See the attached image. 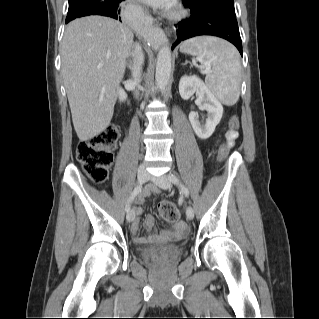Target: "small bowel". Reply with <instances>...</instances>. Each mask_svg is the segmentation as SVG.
<instances>
[{
	"instance_id": "obj_1",
	"label": "small bowel",
	"mask_w": 319,
	"mask_h": 319,
	"mask_svg": "<svg viewBox=\"0 0 319 319\" xmlns=\"http://www.w3.org/2000/svg\"><path fill=\"white\" fill-rule=\"evenodd\" d=\"M238 136V133H235V138ZM233 142V140H231ZM154 192H157L156 189L153 190ZM145 197L144 195H140L137 199L138 203L144 202ZM134 214H136L137 218L133 221L131 226V231L136 235L138 228H139V216L142 214V209L140 207H136L134 209ZM145 228L152 234L155 235L157 230L155 227V224L151 218H147L145 220ZM174 232L175 233H184L186 232V223L182 220H178L174 223ZM144 238L136 237L137 242H144Z\"/></svg>"
}]
</instances>
